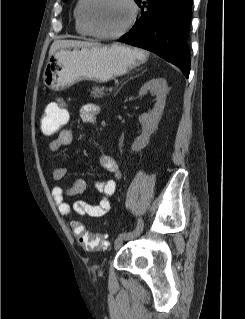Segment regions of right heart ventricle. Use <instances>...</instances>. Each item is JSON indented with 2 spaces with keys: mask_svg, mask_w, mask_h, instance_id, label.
<instances>
[{
  "mask_svg": "<svg viewBox=\"0 0 245 319\" xmlns=\"http://www.w3.org/2000/svg\"><path fill=\"white\" fill-rule=\"evenodd\" d=\"M85 0H77L73 10L74 24L76 32L82 36H91L82 20V7Z\"/></svg>",
  "mask_w": 245,
  "mask_h": 319,
  "instance_id": "right-heart-ventricle-1",
  "label": "right heart ventricle"
}]
</instances>
